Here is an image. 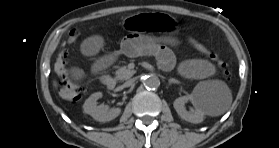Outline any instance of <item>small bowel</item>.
Listing matches in <instances>:
<instances>
[{"label": "small bowel", "instance_id": "small-bowel-1", "mask_svg": "<svg viewBox=\"0 0 279 148\" xmlns=\"http://www.w3.org/2000/svg\"><path fill=\"white\" fill-rule=\"evenodd\" d=\"M174 42L175 41L171 39H158L138 34H130L123 39L119 53L128 57H138L146 54L154 55L160 67L164 70H169L174 65V56L168 45ZM102 44V37L93 36L83 43L82 50L86 55H95L102 47ZM113 58L114 56L105 57L98 62L97 66L99 67L101 64L109 63ZM214 71V66L210 62L200 59L186 61L180 66V72L184 76L196 79L211 76ZM70 73L76 79H80L82 76L78 68H71Z\"/></svg>", "mask_w": 279, "mask_h": 148}]
</instances>
